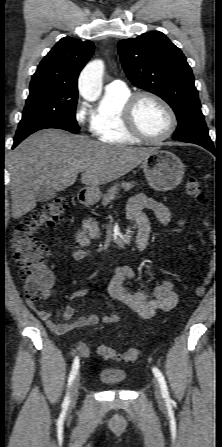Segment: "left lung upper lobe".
<instances>
[{
	"label": "left lung upper lobe",
	"mask_w": 222,
	"mask_h": 447,
	"mask_svg": "<svg viewBox=\"0 0 222 447\" xmlns=\"http://www.w3.org/2000/svg\"><path fill=\"white\" fill-rule=\"evenodd\" d=\"M118 52L129 80L164 99L174 110L178 127L174 138L212 144L190 66L181 50L162 32L151 31L121 40Z\"/></svg>",
	"instance_id": "1"
}]
</instances>
